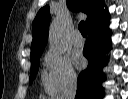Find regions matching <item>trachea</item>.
<instances>
[{"mask_svg": "<svg viewBox=\"0 0 128 99\" xmlns=\"http://www.w3.org/2000/svg\"><path fill=\"white\" fill-rule=\"evenodd\" d=\"M78 29L83 36H87V28L84 21H81L78 25Z\"/></svg>", "mask_w": 128, "mask_h": 99, "instance_id": "1", "label": "trachea"}]
</instances>
